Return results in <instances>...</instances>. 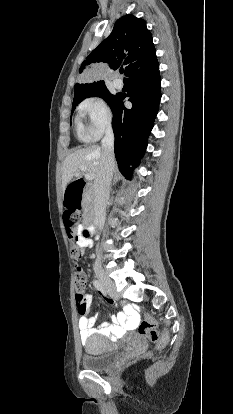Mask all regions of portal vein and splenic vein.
Segmentation results:
<instances>
[{
    "instance_id": "1",
    "label": "portal vein and splenic vein",
    "mask_w": 233,
    "mask_h": 414,
    "mask_svg": "<svg viewBox=\"0 0 233 414\" xmlns=\"http://www.w3.org/2000/svg\"><path fill=\"white\" fill-rule=\"evenodd\" d=\"M81 170H82V171H86V167H81ZM85 178H86L87 180H93L94 176H93L92 174L87 173V174L85 175Z\"/></svg>"
}]
</instances>
